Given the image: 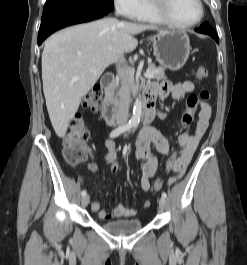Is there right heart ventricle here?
<instances>
[{"label":"right heart ventricle","instance_id":"e07e8e85","mask_svg":"<svg viewBox=\"0 0 247 265\" xmlns=\"http://www.w3.org/2000/svg\"><path fill=\"white\" fill-rule=\"evenodd\" d=\"M136 20L152 23V24H162L163 22L155 15L151 8L150 0H144V9L140 17Z\"/></svg>","mask_w":247,"mask_h":265}]
</instances>
